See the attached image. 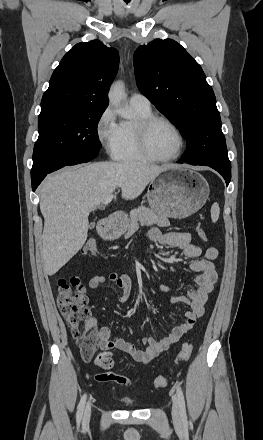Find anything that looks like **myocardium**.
<instances>
[{"label": "myocardium", "mask_w": 263, "mask_h": 440, "mask_svg": "<svg viewBox=\"0 0 263 440\" xmlns=\"http://www.w3.org/2000/svg\"><path fill=\"white\" fill-rule=\"evenodd\" d=\"M165 122L168 124L176 133L179 140V147L173 156L160 157L151 153L148 146V131L156 122ZM133 132L135 138V144L138 152L149 161L154 162H171L178 159L185 148V137L180 130V128L168 117L163 115L151 114L144 118H139L133 125Z\"/></svg>", "instance_id": "myocardium-1"}]
</instances>
